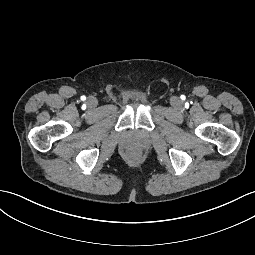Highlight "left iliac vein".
I'll return each mask as SVG.
<instances>
[{
  "mask_svg": "<svg viewBox=\"0 0 255 255\" xmlns=\"http://www.w3.org/2000/svg\"><path fill=\"white\" fill-rule=\"evenodd\" d=\"M174 107H179L181 104V101L178 98H175L172 102Z\"/></svg>",
  "mask_w": 255,
  "mask_h": 255,
  "instance_id": "4c4485c4",
  "label": "left iliac vein"
}]
</instances>
